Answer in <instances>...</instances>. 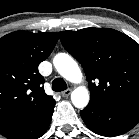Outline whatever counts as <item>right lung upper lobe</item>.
<instances>
[{"mask_svg": "<svg viewBox=\"0 0 139 139\" xmlns=\"http://www.w3.org/2000/svg\"><path fill=\"white\" fill-rule=\"evenodd\" d=\"M57 41L56 32L16 31L0 38V133L55 101L44 91L38 65Z\"/></svg>", "mask_w": 139, "mask_h": 139, "instance_id": "right-lung-upper-lobe-1", "label": "right lung upper lobe"}]
</instances>
